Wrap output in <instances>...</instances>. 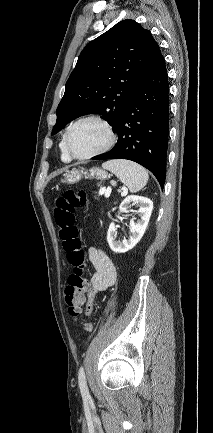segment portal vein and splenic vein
<instances>
[{
	"mask_svg": "<svg viewBox=\"0 0 213 433\" xmlns=\"http://www.w3.org/2000/svg\"><path fill=\"white\" fill-rule=\"evenodd\" d=\"M106 192H105V197H109L110 196V193H111V188L110 187H108L107 189H104Z\"/></svg>",
	"mask_w": 213,
	"mask_h": 433,
	"instance_id": "1",
	"label": "portal vein and splenic vein"
}]
</instances>
